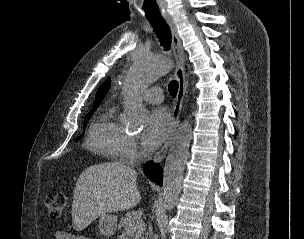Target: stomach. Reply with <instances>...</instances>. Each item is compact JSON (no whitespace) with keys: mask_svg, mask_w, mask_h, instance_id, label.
I'll list each match as a JSON object with an SVG mask.
<instances>
[{"mask_svg":"<svg viewBox=\"0 0 304 239\" xmlns=\"http://www.w3.org/2000/svg\"><path fill=\"white\" fill-rule=\"evenodd\" d=\"M117 217L111 214H103L99 218V231L103 236H112L117 229Z\"/></svg>","mask_w":304,"mask_h":239,"instance_id":"0dacf381","label":"stomach"}]
</instances>
